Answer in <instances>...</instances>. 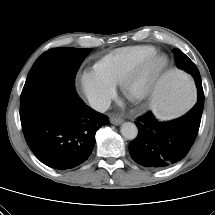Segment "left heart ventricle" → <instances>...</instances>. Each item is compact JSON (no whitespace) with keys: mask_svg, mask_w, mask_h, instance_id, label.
Wrapping results in <instances>:
<instances>
[{"mask_svg":"<svg viewBox=\"0 0 215 215\" xmlns=\"http://www.w3.org/2000/svg\"><path fill=\"white\" fill-rule=\"evenodd\" d=\"M147 76H148V75H145V76H144L143 78H141L138 82H136V83L133 85L131 91H132V92H137L138 90H140V88H141L142 85L144 84V81L146 80Z\"/></svg>","mask_w":215,"mask_h":215,"instance_id":"1","label":"left heart ventricle"}]
</instances>
